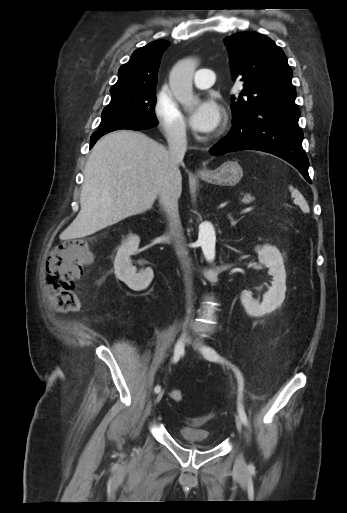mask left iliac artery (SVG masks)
<instances>
[{
	"mask_svg": "<svg viewBox=\"0 0 347 513\" xmlns=\"http://www.w3.org/2000/svg\"><path fill=\"white\" fill-rule=\"evenodd\" d=\"M202 351H203L204 357L207 360H209V361L225 362L212 347L204 346ZM229 366L234 370V372L236 374V377H237V380H238V413H239V416H240L243 424L247 425L248 424L247 415L245 413V410H244V407H243V404H242V401H241L242 400L243 387H244L243 376H242L241 372L238 370V368H236L235 366H233L231 364H229ZM249 468L251 470H253L254 466L252 464H250Z\"/></svg>",
	"mask_w": 347,
	"mask_h": 513,
	"instance_id": "obj_1",
	"label": "left iliac artery"
}]
</instances>
